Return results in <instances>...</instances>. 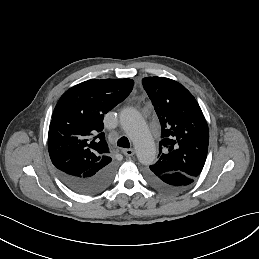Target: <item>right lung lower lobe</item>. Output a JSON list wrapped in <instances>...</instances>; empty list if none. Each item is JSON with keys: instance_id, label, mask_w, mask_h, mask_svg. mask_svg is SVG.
I'll list each match as a JSON object with an SVG mask.
<instances>
[{"instance_id": "right-lung-lower-lobe-1", "label": "right lung lower lobe", "mask_w": 259, "mask_h": 259, "mask_svg": "<svg viewBox=\"0 0 259 259\" xmlns=\"http://www.w3.org/2000/svg\"><path fill=\"white\" fill-rule=\"evenodd\" d=\"M115 172L114 163H110L95 174L87 177L70 175L57 170L61 180L73 191L80 194H96L106 189Z\"/></svg>"}]
</instances>
